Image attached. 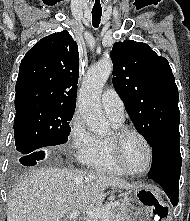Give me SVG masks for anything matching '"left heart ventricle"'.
<instances>
[{
	"mask_svg": "<svg viewBox=\"0 0 190 221\" xmlns=\"http://www.w3.org/2000/svg\"><path fill=\"white\" fill-rule=\"evenodd\" d=\"M121 154L125 165L134 171L144 170L148 163V151L142 140L129 134L121 143Z\"/></svg>",
	"mask_w": 190,
	"mask_h": 221,
	"instance_id": "1",
	"label": "left heart ventricle"
}]
</instances>
